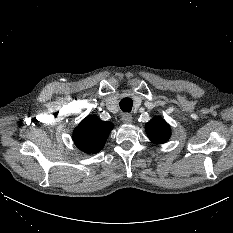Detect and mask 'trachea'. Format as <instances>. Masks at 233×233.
<instances>
[{
    "label": "trachea",
    "instance_id": "trachea-1",
    "mask_svg": "<svg viewBox=\"0 0 233 233\" xmlns=\"http://www.w3.org/2000/svg\"><path fill=\"white\" fill-rule=\"evenodd\" d=\"M132 105H133L132 99L128 97L123 98L119 103V106L123 112H131Z\"/></svg>",
    "mask_w": 233,
    "mask_h": 233
}]
</instances>
